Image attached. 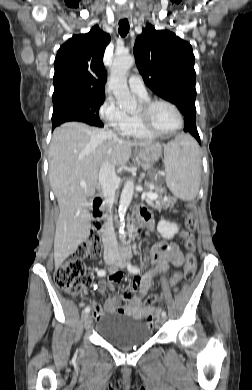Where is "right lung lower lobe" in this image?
I'll use <instances>...</instances> for the list:
<instances>
[{
  "instance_id": "right-lung-lower-lobe-1",
  "label": "right lung lower lobe",
  "mask_w": 252,
  "mask_h": 390,
  "mask_svg": "<svg viewBox=\"0 0 252 390\" xmlns=\"http://www.w3.org/2000/svg\"><path fill=\"white\" fill-rule=\"evenodd\" d=\"M67 121H74V120H66V121H60V122L53 123V124H52V130H53L56 126H58V125H60V124H62V123H64V122H67Z\"/></svg>"
}]
</instances>
